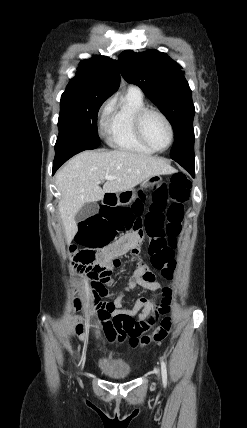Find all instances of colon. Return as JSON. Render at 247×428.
<instances>
[{"label":"colon","instance_id":"5ec220e1","mask_svg":"<svg viewBox=\"0 0 247 428\" xmlns=\"http://www.w3.org/2000/svg\"><path fill=\"white\" fill-rule=\"evenodd\" d=\"M190 187V181L184 174H174L168 185L162 184L155 190L153 199L148 200L147 204H143L142 197L133 204V208H130L129 203H124L123 208L120 204H103L102 212H91L90 217H85L79 234H75V243L85 248H74L72 252L79 263V270L92 281L93 293L99 300L95 305V324L107 340L122 342L128 339L132 347L146 346L163 340L172 323L171 319L166 317L151 335L139 339V333L155 326V319H111L108 303H102L100 298L107 294V283L112 278L113 269L120 265V260L106 262L96 251L99 247L108 245L107 239H120L121 232H130L131 226H134L135 232L145 234L149 238L148 251L152 265L165 279H172L175 268L173 248L176 246V237L181 232L184 204L189 199ZM158 303L160 309H155L154 316L168 314L167 304H171V301ZM132 304L150 306L147 300H133ZM76 333L85 334L82 324L76 326Z\"/></svg>","mask_w":247,"mask_h":428}]
</instances>
